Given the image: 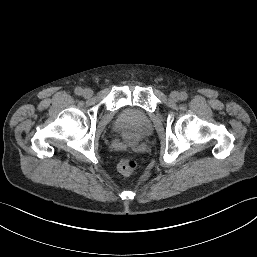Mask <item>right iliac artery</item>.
I'll use <instances>...</instances> for the list:
<instances>
[{"mask_svg": "<svg viewBox=\"0 0 257 257\" xmlns=\"http://www.w3.org/2000/svg\"><path fill=\"white\" fill-rule=\"evenodd\" d=\"M82 92H83V90L80 87L75 89V94H77V95H81Z\"/></svg>", "mask_w": 257, "mask_h": 257, "instance_id": "82829eb1", "label": "right iliac artery"}]
</instances>
